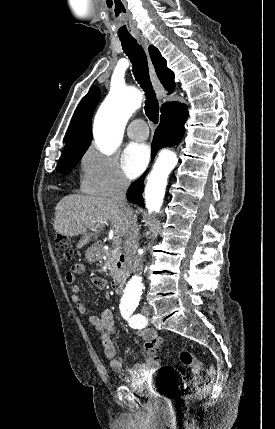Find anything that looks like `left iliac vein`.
I'll return each instance as SVG.
<instances>
[{
	"label": "left iliac vein",
	"instance_id": "left-iliac-vein-1",
	"mask_svg": "<svg viewBox=\"0 0 275 429\" xmlns=\"http://www.w3.org/2000/svg\"><path fill=\"white\" fill-rule=\"evenodd\" d=\"M142 313L144 314V316H149L150 315V308H149V306H143Z\"/></svg>",
	"mask_w": 275,
	"mask_h": 429
}]
</instances>
